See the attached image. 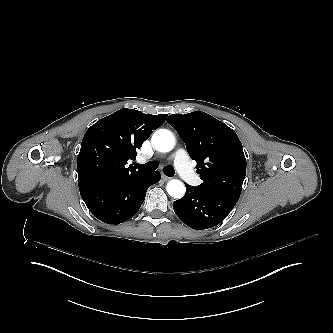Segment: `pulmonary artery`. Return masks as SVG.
Returning a JSON list of instances; mask_svg holds the SVG:
<instances>
[{
    "mask_svg": "<svg viewBox=\"0 0 333 333\" xmlns=\"http://www.w3.org/2000/svg\"><path fill=\"white\" fill-rule=\"evenodd\" d=\"M187 155L188 152L186 149L181 148L178 150L175 156L176 165H177L175 171L177 174L182 175L184 181L188 183L193 182L194 185H199L200 179L196 178L195 174L192 172V168L189 167V164L186 162ZM170 159H172V156L170 157Z\"/></svg>",
    "mask_w": 333,
    "mask_h": 333,
    "instance_id": "obj_1",
    "label": "pulmonary artery"
}]
</instances>
